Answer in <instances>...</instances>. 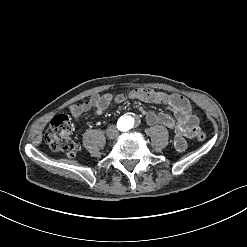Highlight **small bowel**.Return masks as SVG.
I'll return each instance as SVG.
<instances>
[{
  "mask_svg": "<svg viewBox=\"0 0 247 247\" xmlns=\"http://www.w3.org/2000/svg\"><path fill=\"white\" fill-rule=\"evenodd\" d=\"M125 101V95L117 92L114 96L111 93L103 95H94L89 100L82 103H76L70 106V113L75 121L91 110L96 113H103L114 102L122 104ZM162 105L174 112L175 117L166 113H156L153 111L142 112V115L148 125L162 124L174 131L173 144L177 152L182 153L187 148V138L196 137L200 131L199 125H190L189 120L192 116L191 105L189 101L175 93L161 92L159 100L155 103Z\"/></svg>",
  "mask_w": 247,
  "mask_h": 247,
  "instance_id": "c3829d8e",
  "label": "small bowel"
}]
</instances>
